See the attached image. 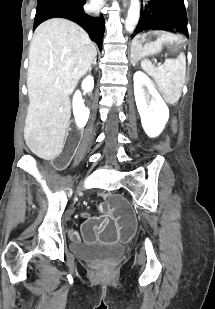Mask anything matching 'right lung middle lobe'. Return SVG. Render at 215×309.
Listing matches in <instances>:
<instances>
[{
    "mask_svg": "<svg viewBox=\"0 0 215 309\" xmlns=\"http://www.w3.org/2000/svg\"><path fill=\"white\" fill-rule=\"evenodd\" d=\"M86 0H38L37 2V7L48 3V2H62V3H66V4H81V3H85Z\"/></svg>",
    "mask_w": 215,
    "mask_h": 309,
    "instance_id": "1",
    "label": "right lung middle lobe"
}]
</instances>
